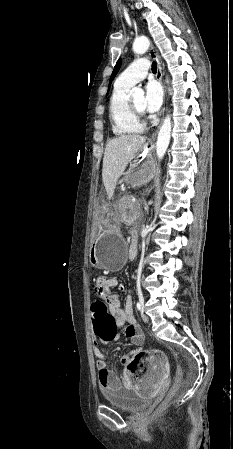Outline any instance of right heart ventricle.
Returning a JSON list of instances; mask_svg holds the SVG:
<instances>
[{"label": "right heart ventricle", "instance_id": "1", "mask_svg": "<svg viewBox=\"0 0 233 449\" xmlns=\"http://www.w3.org/2000/svg\"><path fill=\"white\" fill-rule=\"evenodd\" d=\"M130 87L115 82L109 101V116L112 131L117 136L135 135L145 129L143 121L136 119L128 106Z\"/></svg>", "mask_w": 233, "mask_h": 449}]
</instances>
